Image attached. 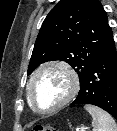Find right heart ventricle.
Listing matches in <instances>:
<instances>
[{
  "instance_id": "right-heart-ventricle-1",
  "label": "right heart ventricle",
  "mask_w": 117,
  "mask_h": 131,
  "mask_svg": "<svg viewBox=\"0 0 117 131\" xmlns=\"http://www.w3.org/2000/svg\"><path fill=\"white\" fill-rule=\"evenodd\" d=\"M27 100H28V98H27ZM28 104H29V106H30V103H29V101H28ZM31 107V106H30Z\"/></svg>"
}]
</instances>
